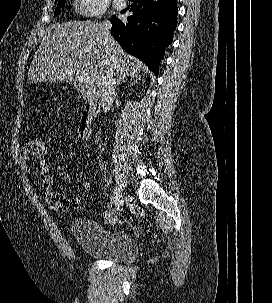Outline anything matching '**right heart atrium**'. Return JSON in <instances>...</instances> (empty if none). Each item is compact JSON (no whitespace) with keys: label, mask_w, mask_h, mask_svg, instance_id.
<instances>
[{"label":"right heart atrium","mask_w":272,"mask_h":303,"mask_svg":"<svg viewBox=\"0 0 272 303\" xmlns=\"http://www.w3.org/2000/svg\"><path fill=\"white\" fill-rule=\"evenodd\" d=\"M109 0H77L79 11L90 17L104 14L108 8Z\"/></svg>","instance_id":"obj_1"}]
</instances>
